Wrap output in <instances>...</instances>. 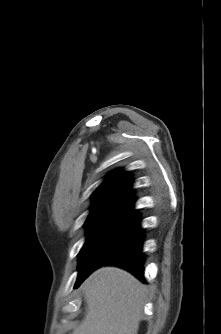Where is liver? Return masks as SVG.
<instances>
[{"label":"liver","mask_w":221,"mask_h":334,"mask_svg":"<svg viewBox=\"0 0 221 334\" xmlns=\"http://www.w3.org/2000/svg\"><path fill=\"white\" fill-rule=\"evenodd\" d=\"M87 304L72 334H137L147 288L129 272L101 267L83 283Z\"/></svg>","instance_id":"6515ba94"}]
</instances>
